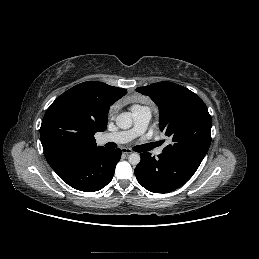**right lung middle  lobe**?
<instances>
[{"instance_id":"obj_1","label":"right lung middle lobe","mask_w":259,"mask_h":259,"mask_svg":"<svg viewBox=\"0 0 259 259\" xmlns=\"http://www.w3.org/2000/svg\"><path fill=\"white\" fill-rule=\"evenodd\" d=\"M46 138L57 145H66L75 137L74 127L67 121L57 120L52 122L45 130Z\"/></svg>"}]
</instances>
